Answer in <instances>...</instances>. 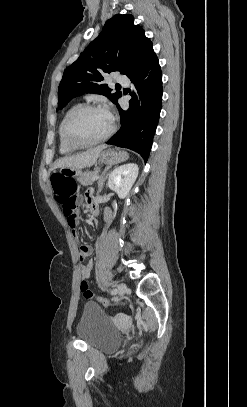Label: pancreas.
<instances>
[{"label":"pancreas","mask_w":247,"mask_h":407,"mask_svg":"<svg viewBox=\"0 0 247 407\" xmlns=\"http://www.w3.org/2000/svg\"><path fill=\"white\" fill-rule=\"evenodd\" d=\"M98 174V169L94 170V171H87L84 172L83 174H81V176L78 178V181L80 182L81 185L83 186H88L91 185L94 180V176H96Z\"/></svg>","instance_id":"pancreas-1"}]
</instances>
